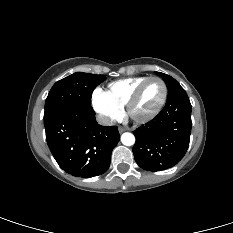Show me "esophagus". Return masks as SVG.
I'll return each instance as SVG.
<instances>
[{"instance_id":"34e87169","label":"esophagus","mask_w":233,"mask_h":233,"mask_svg":"<svg viewBox=\"0 0 233 233\" xmlns=\"http://www.w3.org/2000/svg\"><path fill=\"white\" fill-rule=\"evenodd\" d=\"M119 133H123L124 131H125V128H123V127H119Z\"/></svg>"}]
</instances>
